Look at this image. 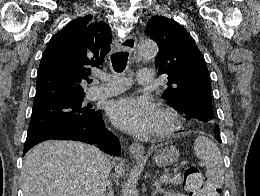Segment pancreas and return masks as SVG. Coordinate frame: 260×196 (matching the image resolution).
Masks as SVG:
<instances>
[{
	"label": "pancreas",
	"instance_id": "obj_1",
	"mask_svg": "<svg viewBox=\"0 0 260 196\" xmlns=\"http://www.w3.org/2000/svg\"><path fill=\"white\" fill-rule=\"evenodd\" d=\"M182 176L181 174H174V176H172V178H169V180H167L166 184H174V186H177V184H182Z\"/></svg>",
	"mask_w": 260,
	"mask_h": 196
}]
</instances>
